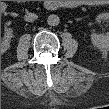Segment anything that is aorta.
I'll return each instance as SVG.
<instances>
[{
  "instance_id": "762f6f07",
  "label": "aorta",
  "mask_w": 109,
  "mask_h": 109,
  "mask_svg": "<svg viewBox=\"0 0 109 109\" xmlns=\"http://www.w3.org/2000/svg\"><path fill=\"white\" fill-rule=\"evenodd\" d=\"M59 22H60V18L55 14L49 15L47 18V23L50 26H57Z\"/></svg>"
}]
</instances>
